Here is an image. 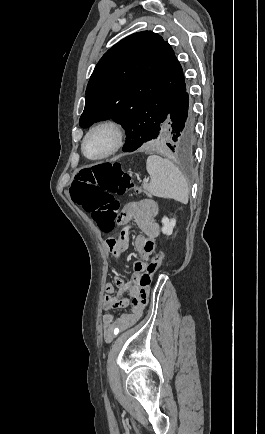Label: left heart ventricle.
<instances>
[{"mask_svg": "<svg viewBox=\"0 0 265 434\" xmlns=\"http://www.w3.org/2000/svg\"><path fill=\"white\" fill-rule=\"evenodd\" d=\"M112 142L109 132L102 131L92 135L86 142L84 150L88 156L95 157L105 153Z\"/></svg>", "mask_w": 265, "mask_h": 434, "instance_id": "b2bd125f", "label": "left heart ventricle"}]
</instances>
